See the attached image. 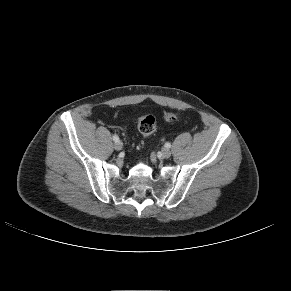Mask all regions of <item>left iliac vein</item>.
<instances>
[{"label":"left iliac vein","instance_id":"4c4485c4","mask_svg":"<svg viewBox=\"0 0 291 291\" xmlns=\"http://www.w3.org/2000/svg\"><path fill=\"white\" fill-rule=\"evenodd\" d=\"M161 153L164 158H169L171 156V151L168 148H163Z\"/></svg>","mask_w":291,"mask_h":291}]
</instances>
